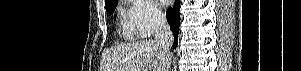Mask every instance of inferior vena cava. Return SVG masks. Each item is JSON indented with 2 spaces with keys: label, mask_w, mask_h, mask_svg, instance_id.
I'll return each instance as SVG.
<instances>
[{
  "label": "inferior vena cava",
  "mask_w": 301,
  "mask_h": 71,
  "mask_svg": "<svg viewBox=\"0 0 301 71\" xmlns=\"http://www.w3.org/2000/svg\"><path fill=\"white\" fill-rule=\"evenodd\" d=\"M155 23V43L159 47L161 53L166 56L164 71H169L170 61L167 57L170 56V49L173 44V34L167 22L166 16L162 13L154 14Z\"/></svg>",
  "instance_id": "602c4592"
}]
</instances>
